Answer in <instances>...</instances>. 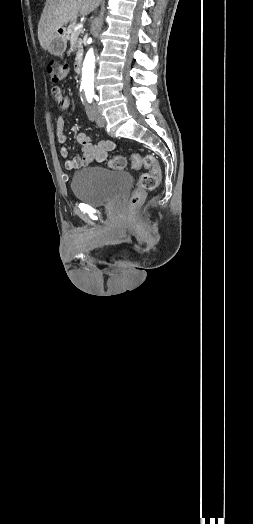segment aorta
<instances>
[{"label": "aorta", "mask_w": 253, "mask_h": 524, "mask_svg": "<svg viewBox=\"0 0 253 524\" xmlns=\"http://www.w3.org/2000/svg\"><path fill=\"white\" fill-rule=\"evenodd\" d=\"M94 69H95V56L93 49H90L83 62L82 68V83L81 87L85 91L87 100H92L94 96Z\"/></svg>", "instance_id": "762f6f07"}]
</instances>
